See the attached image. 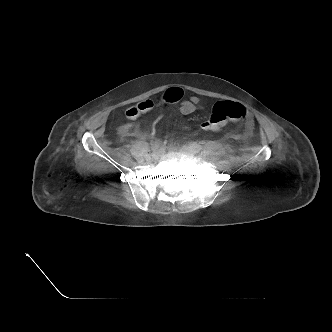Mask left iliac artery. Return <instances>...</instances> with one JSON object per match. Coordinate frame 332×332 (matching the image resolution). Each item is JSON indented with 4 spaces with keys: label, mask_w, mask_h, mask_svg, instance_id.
<instances>
[{
    "label": "left iliac artery",
    "mask_w": 332,
    "mask_h": 332,
    "mask_svg": "<svg viewBox=\"0 0 332 332\" xmlns=\"http://www.w3.org/2000/svg\"><path fill=\"white\" fill-rule=\"evenodd\" d=\"M190 146H191V148L193 149L194 153H200V152H202V146L199 145L198 143H196V142H192V143L190 144Z\"/></svg>",
    "instance_id": "1"
}]
</instances>
